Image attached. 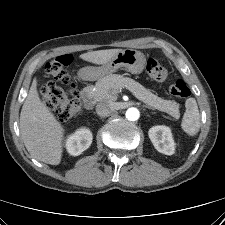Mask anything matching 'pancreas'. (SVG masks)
Segmentation results:
<instances>
[{
  "instance_id": "cf45deb5",
  "label": "pancreas",
  "mask_w": 225,
  "mask_h": 225,
  "mask_svg": "<svg viewBox=\"0 0 225 225\" xmlns=\"http://www.w3.org/2000/svg\"><path fill=\"white\" fill-rule=\"evenodd\" d=\"M123 88L130 90L137 99L146 103L149 107L166 112L175 119L180 117L179 104L177 102L164 100L154 95L135 80L122 75L111 74L103 77L94 86L86 87L84 91L89 98L95 101L116 100L117 94Z\"/></svg>"
}]
</instances>
